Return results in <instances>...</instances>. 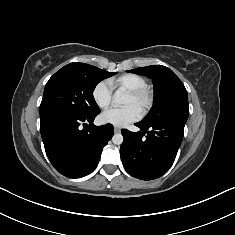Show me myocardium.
Returning a JSON list of instances; mask_svg holds the SVG:
<instances>
[{
    "instance_id": "f54148a6",
    "label": "myocardium",
    "mask_w": 235,
    "mask_h": 235,
    "mask_svg": "<svg viewBox=\"0 0 235 235\" xmlns=\"http://www.w3.org/2000/svg\"><path fill=\"white\" fill-rule=\"evenodd\" d=\"M127 94L132 96L133 98L141 101V115H145L152 107L154 95L153 91L147 87H140L136 89H131L127 91Z\"/></svg>"
}]
</instances>
